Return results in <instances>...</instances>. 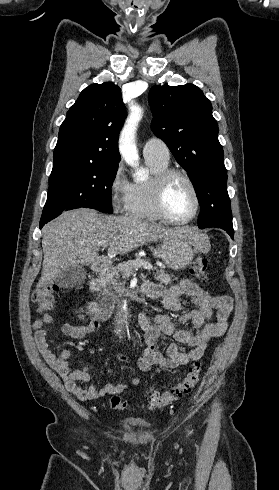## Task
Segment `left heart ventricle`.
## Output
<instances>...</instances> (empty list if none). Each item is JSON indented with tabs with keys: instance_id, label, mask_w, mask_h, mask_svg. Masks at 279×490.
<instances>
[{
	"instance_id": "1",
	"label": "left heart ventricle",
	"mask_w": 279,
	"mask_h": 490,
	"mask_svg": "<svg viewBox=\"0 0 279 490\" xmlns=\"http://www.w3.org/2000/svg\"><path fill=\"white\" fill-rule=\"evenodd\" d=\"M167 209L170 215L178 220L188 218L195 205L191 186L182 178H176L170 185L167 194Z\"/></svg>"
}]
</instances>
